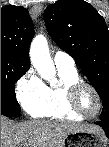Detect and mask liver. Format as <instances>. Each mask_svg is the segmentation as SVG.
<instances>
[{"label":"liver","mask_w":109,"mask_h":147,"mask_svg":"<svg viewBox=\"0 0 109 147\" xmlns=\"http://www.w3.org/2000/svg\"><path fill=\"white\" fill-rule=\"evenodd\" d=\"M75 131L104 134L102 128L90 124L46 120L13 124L1 117V147H64L67 135Z\"/></svg>","instance_id":"obj_1"}]
</instances>
